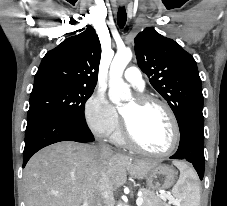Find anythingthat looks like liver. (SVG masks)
<instances>
[{"label": "liver", "mask_w": 227, "mask_h": 206, "mask_svg": "<svg viewBox=\"0 0 227 206\" xmlns=\"http://www.w3.org/2000/svg\"><path fill=\"white\" fill-rule=\"evenodd\" d=\"M158 163L112 150L103 152L94 145L55 143L36 153L25 167V206H82L84 202L96 206L102 173L114 188H119L127 173L142 179Z\"/></svg>", "instance_id": "6515ba94"}]
</instances>
